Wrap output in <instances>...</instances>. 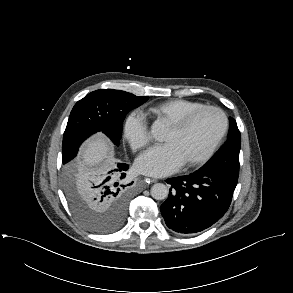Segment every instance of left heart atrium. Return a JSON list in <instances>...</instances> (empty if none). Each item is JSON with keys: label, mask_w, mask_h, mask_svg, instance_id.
Listing matches in <instances>:
<instances>
[{"label": "left heart atrium", "mask_w": 293, "mask_h": 293, "mask_svg": "<svg viewBox=\"0 0 293 293\" xmlns=\"http://www.w3.org/2000/svg\"><path fill=\"white\" fill-rule=\"evenodd\" d=\"M183 161L171 144L152 147L136 161L135 169L143 174L160 177L173 173Z\"/></svg>", "instance_id": "obj_1"}]
</instances>
